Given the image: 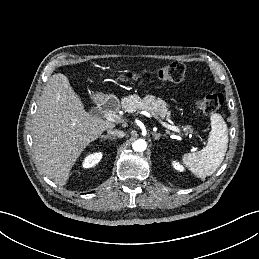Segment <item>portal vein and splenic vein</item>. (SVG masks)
<instances>
[{"label":"portal vein and splenic vein","mask_w":259,"mask_h":259,"mask_svg":"<svg viewBox=\"0 0 259 259\" xmlns=\"http://www.w3.org/2000/svg\"><path fill=\"white\" fill-rule=\"evenodd\" d=\"M144 114H145V115H148L147 112H144ZM103 117H104L106 120L110 121V122H117V123L122 122V119H121L118 115H116L115 113H113V112H111V111L104 113V114H103ZM161 123H162V125H163L164 127H166L167 129L172 130V131L177 132V133H181V130H180L178 127H176V126H171V125L166 124L165 122H162V121H161Z\"/></svg>","instance_id":"1"}]
</instances>
